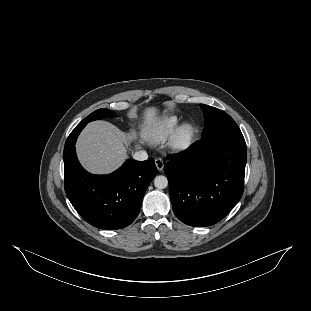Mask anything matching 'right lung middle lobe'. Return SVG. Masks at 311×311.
<instances>
[{"label": "right lung middle lobe", "mask_w": 311, "mask_h": 311, "mask_svg": "<svg viewBox=\"0 0 311 311\" xmlns=\"http://www.w3.org/2000/svg\"><path fill=\"white\" fill-rule=\"evenodd\" d=\"M114 113L108 109H98L91 113L89 116H87L85 119H83L80 123L81 124H87L91 121L97 120V119H102L106 117H113Z\"/></svg>", "instance_id": "obj_1"}]
</instances>
